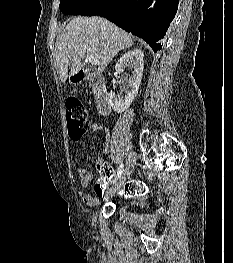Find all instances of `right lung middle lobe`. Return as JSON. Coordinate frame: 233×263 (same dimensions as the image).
Wrapping results in <instances>:
<instances>
[{
    "mask_svg": "<svg viewBox=\"0 0 233 263\" xmlns=\"http://www.w3.org/2000/svg\"><path fill=\"white\" fill-rule=\"evenodd\" d=\"M101 0H60V10L64 14L87 15Z\"/></svg>",
    "mask_w": 233,
    "mask_h": 263,
    "instance_id": "1",
    "label": "right lung middle lobe"
}]
</instances>
